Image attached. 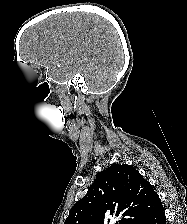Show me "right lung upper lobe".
Returning <instances> with one entry per match:
<instances>
[{"mask_svg":"<svg viewBox=\"0 0 187 224\" xmlns=\"http://www.w3.org/2000/svg\"><path fill=\"white\" fill-rule=\"evenodd\" d=\"M164 211L151 184L127 164H113L99 173L87 194L69 212L64 224H140Z\"/></svg>","mask_w":187,"mask_h":224,"instance_id":"obj_1","label":"right lung upper lobe"}]
</instances>
